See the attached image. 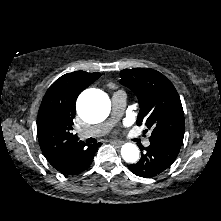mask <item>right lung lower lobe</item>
<instances>
[{
  "mask_svg": "<svg viewBox=\"0 0 221 221\" xmlns=\"http://www.w3.org/2000/svg\"><path fill=\"white\" fill-rule=\"evenodd\" d=\"M100 145L101 143H95L78 150L72 156V162L58 171L65 175H76L86 170L91 165L94 154Z\"/></svg>",
  "mask_w": 221,
  "mask_h": 221,
  "instance_id": "1",
  "label": "right lung lower lobe"
}]
</instances>
